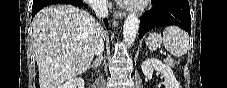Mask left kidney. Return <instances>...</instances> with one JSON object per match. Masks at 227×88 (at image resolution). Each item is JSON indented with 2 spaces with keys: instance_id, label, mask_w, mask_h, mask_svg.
I'll return each instance as SVG.
<instances>
[{
  "instance_id": "obj_1",
  "label": "left kidney",
  "mask_w": 227,
  "mask_h": 88,
  "mask_svg": "<svg viewBox=\"0 0 227 88\" xmlns=\"http://www.w3.org/2000/svg\"><path fill=\"white\" fill-rule=\"evenodd\" d=\"M141 69L146 77H151L154 71H159L164 76L163 84L166 88H179V82L176 80L172 69L162 61L156 58H148L143 61Z\"/></svg>"
}]
</instances>
